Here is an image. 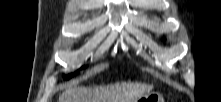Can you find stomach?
I'll return each instance as SVG.
<instances>
[{"label": "stomach", "mask_w": 221, "mask_h": 102, "mask_svg": "<svg viewBox=\"0 0 221 102\" xmlns=\"http://www.w3.org/2000/svg\"><path fill=\"white\" fill-rule=\"evenodd\" d=\"M137 102H163V98L158 92H151L141 97Z\"/></svg>", "instance_id": "0dacf381"}]
</instances>
